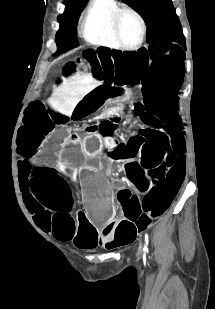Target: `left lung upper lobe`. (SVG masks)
Wrapping results in <instances>:
<instances>
[{
  "label": "left lung upper lobe",
  "mask_w": 215,
  "mask_h": 309,
  "mask_svg": "<svg viewBox=\"0 0 215 309\" xmlns=\"http://www.w3.org/2000/svg\"><path fill=\"white\" fill-rule=\"evenodd\" d=\"M147 25V43L157 41L185 44V37L171 0H126Z\"/></svg>",
  "instance_id": "left-lung-upper-lobe-1"
}]
</instances>
